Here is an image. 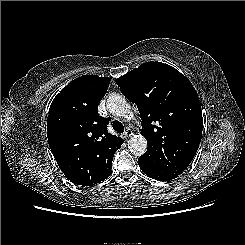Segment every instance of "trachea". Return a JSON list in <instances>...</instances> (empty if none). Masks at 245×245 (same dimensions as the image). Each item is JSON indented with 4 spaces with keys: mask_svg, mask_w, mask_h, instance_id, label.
Instances as JSON below:
<instances>
[{
    "mask_svg": "<svg viewBox=\"0 0 245 245\" xmlns=\"http://www.w3.org/2000/svg\"><path fill=\"white\" fill-rule=\"evenodd\" d=\"M113 129L118 132V133H122L124 131V126L122 123H120L119 121H114L113 122Z\"/></svg>",
    "mask_w": 245,
    "mask_h": 245,
    "instance_id": "trachea-1",
    "label": "trachea"
}]
</instances>
